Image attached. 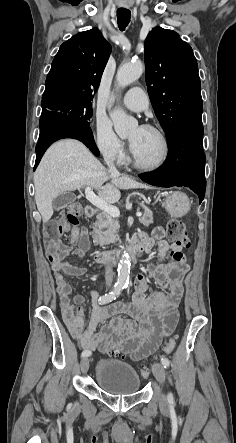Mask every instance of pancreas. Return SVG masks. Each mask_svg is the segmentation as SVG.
I'll return each instance as SVG.
<instances>
[{
	"mask_svg": "<svg viewBox=\"0 0 236 443\" xmlns=\"http://www.w3.org/2000/svg\"><path fill=\"white\" fill-rule=\"evenodd\" d=\"M139 221L146 227L150 226L153 223V213L149 209L144 208V214ZM92 228L91 234L94 245L104 247L116 241L120 224L109 214L101 213L97 215V220Z\"/></svg>",
	"mask_w": 236,
	"mask_h": 443,
	"instance_id": "obj_1",
	"label": "pancreas"
}]
</instances>
